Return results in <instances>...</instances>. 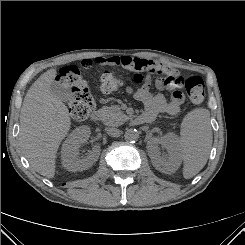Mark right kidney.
Instances as JSON below:
<instances>
[{
	"label": "right kidney",
	"mask_w": 245,
	"mask_h": 245,
	"mask_svg": "<svg viewBox=\"0 0 245 245\" xmlns=\"http://www.w3.org/2000/svg\"><path fill=\"white\" fill-rule=\"evenodd\" d=\"M91 131L88 126L76 128L64 141L61 150L62 165L68 171H83L90 168L99 158L100 146L94 145L85 156L79 157V148L87 142Z\"/></svg>",
	"instance_id": "right-kidney-1"
}]
</instances>
